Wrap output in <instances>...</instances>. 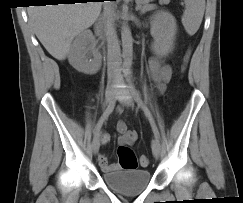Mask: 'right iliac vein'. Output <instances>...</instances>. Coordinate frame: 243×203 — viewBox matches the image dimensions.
Here are the masks:
<instances>
[{
	"instance_id": "63e3f726",
	"label": "right iliac vein",
	"mask_w": 243,
	"mask_h": 203,
	"mask_svg": "<svg viewBox=\"0 0 243 203\" xmlns=\"http://www.w3.org/2000/svg\"><path fill=\"white\" fill-rule=\"evenodd\" d=\"M115 94H116V90L114 89V87H109L107 89L106 94H105V103L107 105H109L112 102ZM99 147H100V138L98 135V136L94 137L93 143H92V150L95 154L99 151Z\"/></svg>"
}]
</instances>
